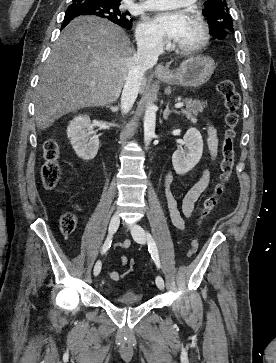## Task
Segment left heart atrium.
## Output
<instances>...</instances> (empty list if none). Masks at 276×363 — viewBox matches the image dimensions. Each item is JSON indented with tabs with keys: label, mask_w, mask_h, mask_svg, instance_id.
Segmentation results:
<instances>
[{
	"label": "left heart atrium",
	"mask_w": 276,
	"mask_h": 363,
	"mask_svg": "<svg viewBox=\"0 0 276 363\" xmlns=\"http://www.w3.org/2000/svg\"><path fill=\"white\" fill-rule=\"evenodd\" d=\"M187 16L182 11L162 12L154 18L155 28L167 39L177 41L184 31Z\"/></svg>",
	"instance_id": "obj_1"
}]
</instances>
